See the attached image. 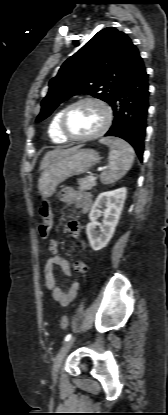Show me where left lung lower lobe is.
I'll list each match as a JSON object with an SVG mask.
<instances>
[{
    "label": "left lung lower lobe",
    "mask_w": 168,
    "mask_h": 415,
    "mask_svg": "<svg viewBox=\"0 0 168 415\" xmlns=\"http://www.w3.org/2000/svg\"><path fill=\"white\" fill-rule=\"evenodd\" d=\"M147 77L143 60L139 56L110 103L114 120L113 125L105 134V136H116L129 142L140 160L143 157L149 106Z\"/></svg>",
    "instance_id": "obj_1"
}]
</instances>
